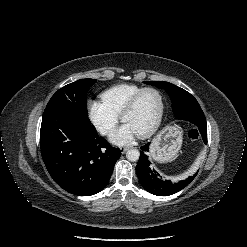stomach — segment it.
Instances as JSON below:
<instances>
[{
	"mask_svg": "<svg viewBox=\"0 0 247 247\" xmlns=\"http://www.w3.org/2000/svg\"><path fill=\"white\" fill-rule=\"evenodd\" d=\"M182 136V131L179 128L175 126L165 127L152 140L150 156L158 162L173 160L181 148Z\"/></svg>",
	"mask_w": 247,
	"mask_h": 247,
	"instance_id": "1",
	"label": "stomach"
}]
</instances>
